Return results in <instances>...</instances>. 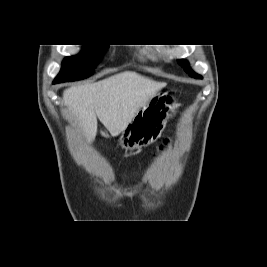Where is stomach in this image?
Masks as SVG:
<instances>
[{"label":"stomach","mask_w":267,"mask_h":267,"mask_svg":"<svg viewBox=\"0 0 267 267\" xmlns=\"http://www.w3.org/2000/svg\"><path fill=\"white\" fill-rule=\"evenodd\" d=\"M176 108L173 97L158 92L122 131L120 145L126 150H134L152 144L161 137L167 121L175 115Z\"/></svg>","instance_id":"obj_1"}]
</instances>
